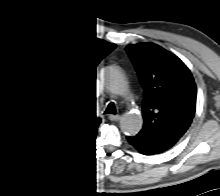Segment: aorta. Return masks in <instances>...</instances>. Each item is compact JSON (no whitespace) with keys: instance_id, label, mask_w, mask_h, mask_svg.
<instances>
[{"instance_id":"762f6f07","label":"aorta","mask_w":220,"mask_h":196,"mask_svg":"<svg viewBox=\"0 0 220 196\" xmlns=\"http://www.w3.org/2000/svg\"><path fill=\"white\" fill-rule=\"evenodd\" d=\"M105 81L110 83L111 87L117 89L120 94L127 96L128 87L124 77L117 71L111 70L110 74L107 72ZM123 129L129 134H136L142 127V117L138 114L127 113L121 121Z\"/></svg>"}]
</instances>
